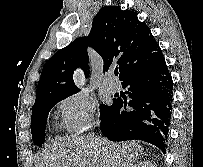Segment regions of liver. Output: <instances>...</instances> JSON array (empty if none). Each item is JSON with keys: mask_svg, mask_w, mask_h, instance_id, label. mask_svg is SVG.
Listing matches in <instances>:
<instances>
[{"mask_svg": "<svg viewBox=\"0 0 203 167\" xmlns=\"http://www.w3.org/2000/svg\"><path fill=\"white\" fill-rule=\"evenodd\" d=\"M142 155L136 141L114 143L90 135L73 136L46 146L35 167H133Z\"/></svg>", "mask_w": 203, "mask_h": 167, "instance_id": "obj_1", "label": "liver"}]
</instances>
